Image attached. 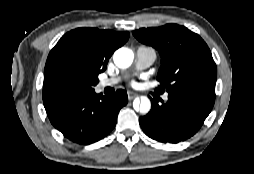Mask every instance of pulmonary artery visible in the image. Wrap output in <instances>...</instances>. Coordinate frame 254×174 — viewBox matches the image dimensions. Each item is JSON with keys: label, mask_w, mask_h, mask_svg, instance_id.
Listing matches in <instances>:
<instances>
[{"label": "pulmonary artery", "mask_w": 254, "mask_h": 174, "mask_svg": "<svg viewBox=\"0 0 254 174\" xmlns=\"http://www.w3.org/2000/svg\"><path fill=\"white\" fill-rule=\"evenodd\" d=\"M156 60V52L151 47L140 46L136 51V66L138 69H145L151 66ZM119 77L104 78L99 82V88L104 89L119 83ZM164 100L168 99L167 95L163 96Z\"/></svg>", "instance_id": "1"}]
</instances>
